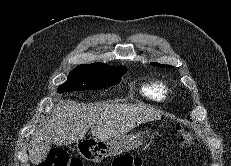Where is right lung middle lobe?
I'll use <instances>...</instances> for the list:
<instances>
[{
    "mask_svg": "<svg viewBox=\"0 0 231 166\" xmlns=\"http://www.w3.org/2000/svg\"><path fill=\"white\" fill-rule=\"evenodd\" d=\"M126 72L124 66L103 63L79 65L69 73L67 81L58 88V92L107 88L118 84Z\"/></svg>",
    "mask_w": 231,
    "mask_h": 166,
    "instance_id": "1",
    "label": "right lung middle lobe"
}]
</instances>
